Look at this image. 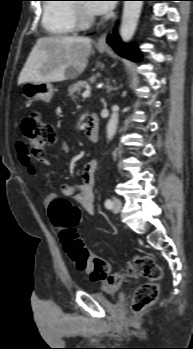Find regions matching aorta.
<instances>
[{"instance_id": "aorta-1", "label": "aorta", "mask_w": 193, "mask_h": 349, "mask_svg": "<svg viewBox=\"0 0 193 349\" xmlns=\"http://www.w3.org/2000/svg\"><path fill=\"white\" fill-rule=\"evenodd\" d=\"M143 1H124L122 21L120 27V37L124 43L129 42L136 30L138 19L141 13ZM119 107H112V114L108 121L106 134L107 139L112 140L119 122Z\"/></svg>"}]
</instances>
